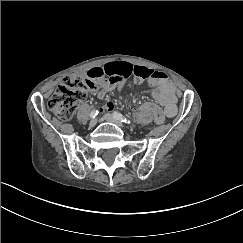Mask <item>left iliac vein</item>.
<instances>
[{
  "label": "left iliac vein",
  "instance_id": "4c4485c4",
  "mask_svg": "<svg viewBox=\"0 0 243 243\" xmlns=\"http://www.w3.org/2000/svg\"><path fill=\"white\" fill-rule=\"evenodd\" d=\"M103 118L106 121H108L110 123H113V124L117 125L120 128H124V125L118 119H116L113 115H111L109 113L104 114Z\"/></svg>",
  "mask_w": 243,
  "mask_h": 243
}]
</instances>
